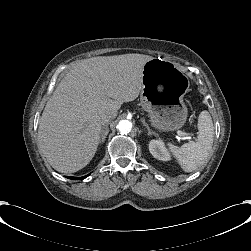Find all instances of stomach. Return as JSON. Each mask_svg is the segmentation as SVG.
<instances>
[{
	"label": "stomach",
	"mask_w": 251,
	"mask_h": 251,
	"mask_svg": "<svg viewBox=\"0 0 251 251\" xmlns=\"http://www.w3.org/2000/svg\"><path fill=\"white\" fill-rule=\"evenodd\" d=\"M142 82L141 104L152 123L165 130L181 127L186 119L183 97L189 90L188 77L173 62L152 58L143 66Z\"/></svg>",
	"instance_id": "obj_1"
}]
</instances>
